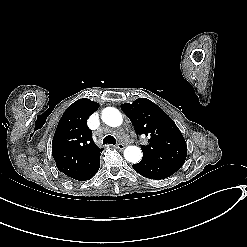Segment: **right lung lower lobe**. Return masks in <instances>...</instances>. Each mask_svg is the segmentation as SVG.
<instances>
[{
    "label": "right lung lower lobe",
    "instance_id": "1",
    "mask_svg": "<svg viewBox=\"0 0 247 247\" xmlns=\"http://www.w3.org/2000/svg\"><path fill=\"white\" fill-rule=\"evenodd\" d=\"M99 167H100V157L83 174L73 179L78 180V181L89 180L97 173V171L99 170Z\"/></svg>",
    "mask_w": 247,
    "mask_h": 247
}]
</instances>
